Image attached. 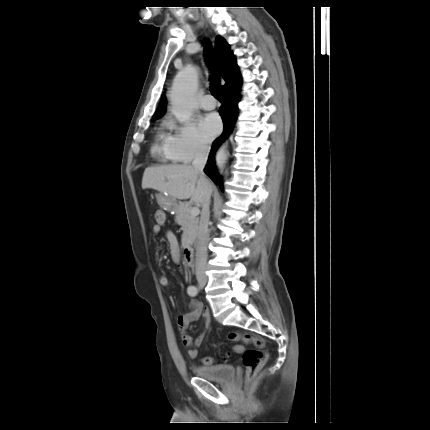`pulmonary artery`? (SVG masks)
<instances>
[{
	"mask_svg": "<svg viewBox=\"0 0 430 430\" xmlns=\"http://www.w3.org/2000/svg\"><path fill=\"white\" fill-rule=\"evenodd\" d=\"M216 101L211 95H205L203 97L201 106L204 110H213L216 107Z\"/></svg>",
	"mask_w": 430,
	"mask_h": 430,
	"instance_id": "e3ab8cb5",
	"label": "pulmonary artery"
}]
</instances>
